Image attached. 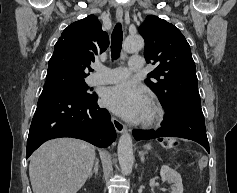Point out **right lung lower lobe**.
<instances>
[{
  "instance_id": "right-lung-lower-lobe-1",
  "label": "right lung lower lobe",
  "mask_w": 237,
  "mask_h": 193,
  "mask_svg": "<svg viewBox=\"0 0 237 193\" xmlns=\"http://www.w3.org/2000/svg\"><path fill=\"white\" fill-rule=\"evenodd\" d=\"M97 95L75 98L57 89H43L27 140L28 158L45 141L59 137L108 147L116 139L110 114L97 104Z\"/></svg>"
}]
</instances>
